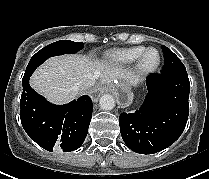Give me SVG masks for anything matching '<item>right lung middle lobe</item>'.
<instances>
[{"instance_id": "obj_1", "label": "right lung middle lobe", "mask_w": 209, "mask_h": 179, "mask_svg": "<svg viewBox=\"0 0 209 179\" xmlns=\"http://www.w3.org/2000/svg\"><path fill=\"white\" fill-rule=\"evenodd\" d=\"M83 47V43L69 40H60L44 47L31 58L23 79L31 76L33 71L49 57L61 54H74L83 49Z\"/></svg>"}]
</instances>
